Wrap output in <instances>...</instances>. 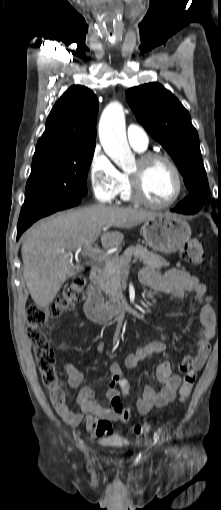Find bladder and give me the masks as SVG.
Instances as JSON below:
<instances>
[{
  "instance_id": "bladder-1",
  "label": "bladder",
  "mask_w": 221,
  "mask_h": 510,
  "mask_svg": "<svg viewBox=\"0 0 221 510\" xmlns=\"http://www.w3.org/2000/svg\"><path fill=\"white\" fill-rule=\"evenodd\" d=\"M110 446H113V447H119L118 445L116 444H110Z\"/></svg>"
}]
</instances>
